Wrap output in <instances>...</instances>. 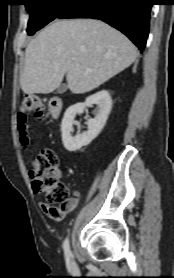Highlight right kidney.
Here are the masks:
<instances>
[{"label": "right kidney", "instance_id": "ca27d5eb", "mask_svg": "<svg viewBox=\"0 0 174 278\" xmlns=\"http://www.w3.org/2000/svg\"><path fill=\"white\" fill-rule=\"evenodd\" d=\"M93 104L98 105L99 110L94 119H88V131L72 136L71 132L73 131L76 114L82 113L86 107L92 106ZM111 107L112 99L106 90H101L89 96L84 103H77L70 106L66 110L61 124L62 142L65 149L69 152H74L83 146L89 145L103 129Z\"/></svg>", "mask_w": 174, "mask_h": 278}]
</instances>
